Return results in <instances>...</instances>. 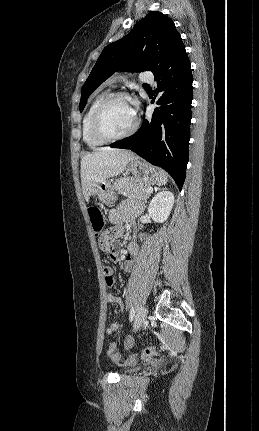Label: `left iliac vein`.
Returning <instances> with one entry per match:
<instances>
[{
    "label": "left iliac vein",
    "instance_id": "1",
    "mask_svg": "<svg viewBox=\"0 0 259 431\" xmlns=\"http://www.w3.org/2000/svg\"><path fill=\"white\" fill-rule=\"evenodd\" d=\"M147 308L145 306H141L137 311L135 322H134V330H138L146 320L147 317Z\"/></svg>",
    "mask_w": 259,
    "mask_h": 431
}]
</instances>
